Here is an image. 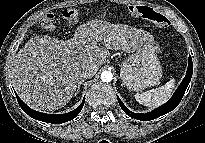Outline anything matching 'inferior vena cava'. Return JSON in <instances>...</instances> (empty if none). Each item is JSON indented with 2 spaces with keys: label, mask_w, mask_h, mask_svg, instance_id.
<instances>
[{
  "label": "inferior vena cava",
  "mask_w": 205,
  "mask_h": 143,
  "mask_svg": "<svg viewBox=\"0 0 205 143\" xmlns=\"http://www.w3.org/2000/svg\"><path fill=\"white\" fill-rule=\"evenodd\" d=\"M97 71H98L97 65H93V64L86 65L83 67L80 73V77L85 78V79L92 78L96 74Z\"/></svg>",
  "instance_id": "obj_1"
}]
</instances>
